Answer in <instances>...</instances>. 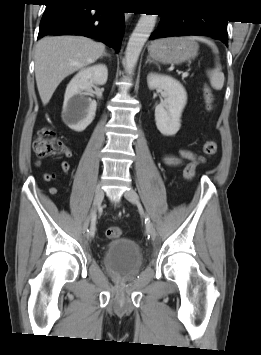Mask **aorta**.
Instances as JSON below:
<instances>
[{
	"instance_id": "762f6f07",
	"label": "aorta",
	"mask_w": 261,
	"mask_h": 355,
	"mask_svg": "<svg viewBox=\"0 0 261 355\" xmlns=\"http://www.w3.org/2000/svg\"><path fill=\"white\" fill-rule=\"evenodd\" d=\"M156 23V15L142 14L132 32L125 50V72L133 74L142 48L152 33Z\"/></svg>"
}]
</instances>
